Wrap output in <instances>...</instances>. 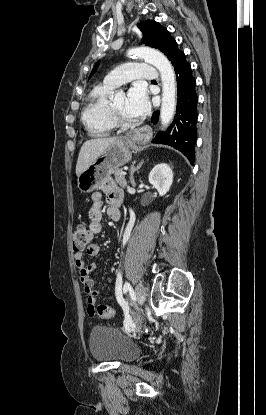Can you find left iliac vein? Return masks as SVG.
<instances>
[{
    "label": "left iliac vein",
    "mask_w": 266,
    "mask_h": 415,
    "mask_svg": "<svg viewBox=\"0 0 266 415\" xmlns=\"http://www.w3.org/2000/svg\"><path fill=\"white\" fill-rule=\"evenodd\" d=\"M136 300L139 306H142L146 299V291L141 284H138L135 288Z\"/></svg>",
    "instance_id": "obj_1"
}]
</instances>
